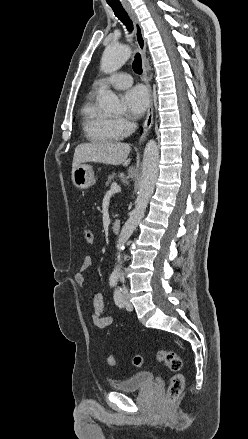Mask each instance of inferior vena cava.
Instances as JSON below:
<instances>
[{
	"label": "inferior vena cava",
	"instance_id": "obj_1",
	"mask_svg": "<svg viewBox=\"0 0 248 439\" xmlns=\"http://www.w3.org/2000/svg\"><path fill=\"white\" fill-rule=\"evenodd\" d=\"M120 281H121L122 283L125 282V278H124V274H123V272H121V274H120Z\"/></svg>",
	"mask_w": 248,
	"mask_h": 439
}]
</instances>
